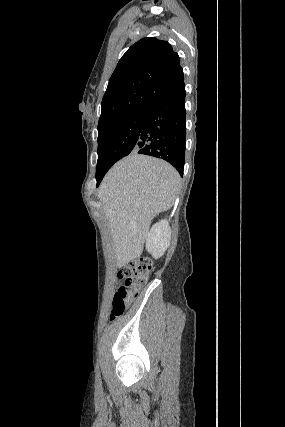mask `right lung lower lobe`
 <instances>
[{"label": "right lung lower lobe", "instance_id": "1", "mask_svg": "<svg viewBox=\"0 0 285 427\" xmlns=\"http://www.w3.org/2000/svg\"><path fill=\"white\" fill-rule=\"evenodd\" d=\"M185 85L146 108L139 141L134 151L169 162L183 175L186 143ZM106 172L96 175L97 186Z\"/></svg>", "mask_w": 285, "mask_h": 427}]
</instances>
